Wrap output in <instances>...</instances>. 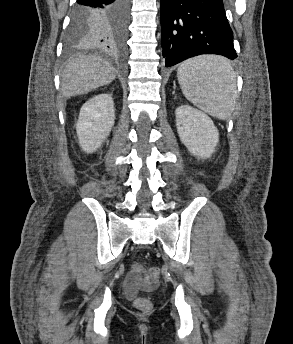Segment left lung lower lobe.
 <instances>
[{"label": "left lung lower lobe", "instance_id": "obj_1", "mask_svg": "<svg viewBox=\"0 0 293 344\" xmlns=\"http://www.w3.org/2000/svg\"><path fill=\"white\" fill-rule=\"evenodd\" d=\"M161 27L166 67L201 54L237 57L222 0H161Z\"/></svg>", "mask_w": 293, "mask_h": 344}]
</instances>
